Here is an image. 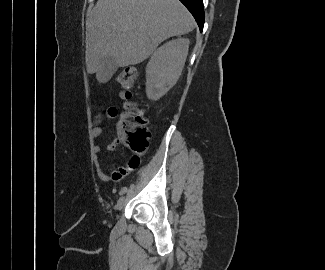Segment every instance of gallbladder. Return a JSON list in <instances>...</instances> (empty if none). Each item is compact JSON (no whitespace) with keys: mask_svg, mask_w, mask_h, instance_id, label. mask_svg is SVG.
Returning a JSON list of instances; mask_svg holds the SVG:
<instances>
[{"mask_svg":"<svg viewBox=\"0 0 325 270\" xmlns=\"http://www.w3.org/2000/svg\"><path fill=\"white\" fill-rule=\"evenodd\" d=\"M102 71L101 74L105 76L106 78L111 77L117 70V65L114 61V59L110 56L105 57L102 59Z\"/></svg>","mask_w":325,"mask_h":270,"instance_id":"obj_1","label":"gallbladder"}]
</instances>
